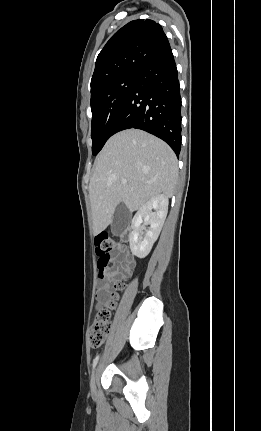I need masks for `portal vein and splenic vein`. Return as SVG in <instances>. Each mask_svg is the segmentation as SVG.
Wrapping results in <instances>:
<instances>
[{
  "label": "portal vein and splenic vein",
  "instance_id": "1",
  "mask_svg": "<svg viewBox=\"0 0 261 431\" xmlns=\"http://www.w3.org/2000/svg\"><path fill=\"white\" fill-rule=\"evenodd\" d=\"M121 183H122V184H126V183H127V181H126L125 179H122V180H121Z\"/></svg>",
  "mask_w": 261,
  "mask_h": 431
}]
</instances>
